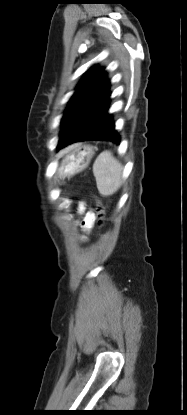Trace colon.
I'll use <instances>...</instances> for the list:
<instances>
[{"instance_id":"colon-1","label":"colon","mask_w":187,"mask_h":415,"mask_svg":"<svg viewBox=\"0 0 187 415\" xmlns=\"http://www.w3.org/2000/svg\"><path fill=\"white\" fill-rule=\"evenodd\" d=\"M96 211H97L100 219H103L104 216H105V213H106V208L100 200L96 201Z\"/></svg>"}]
</instances>
